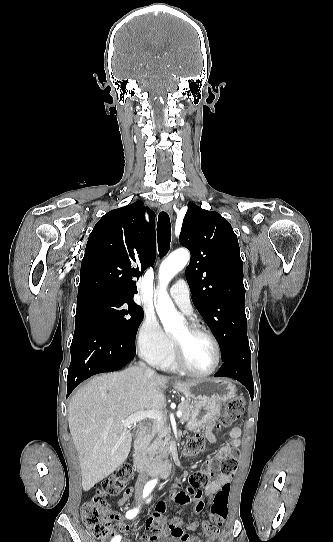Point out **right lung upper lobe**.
<instances>
[{
	"instance_id": "obj_1",
	"label": "right lung upper lobe",
	"mask_w": 333,
	"mask_h": 542,
	"mask_svg": "<svg viewBox=\"0 0 333 542\" xmlns=\"http://www.w3.org/2000/svg\"><path fill=\"white\" fill-rule=\"evenodd\" d=\"M142 201L105 214L89 235L81 263L77 304L94 295L134 302L136 281L155 261L154 212Z\"/></svg>"
}]
</instances>
